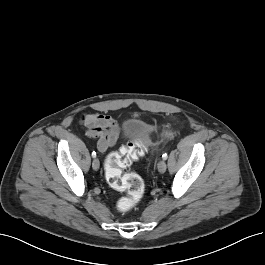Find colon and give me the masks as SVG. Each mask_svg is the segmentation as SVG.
<instances>
[{"label": "colon", "mask_w": 265, "mask_h": 265, "mask_svg": "<svg viewBox=\"0 0 265 265\" xmlns=\"http://www.w3.org/2000/svg\"><path fill=\"white\" fill-rule=\"evenodd\" d=\"M144 151L140 142H130L123 146L118 152L111 153L105 162V174L109 185L118 191L127 192V196L119 200L121 211L132 208L144 194V183L135 173L123 170L138 159Z\"/></svg>", "instance_id": "1"}]
</instances>
